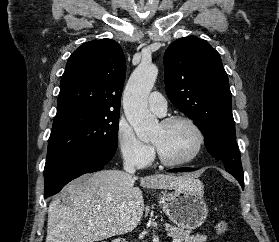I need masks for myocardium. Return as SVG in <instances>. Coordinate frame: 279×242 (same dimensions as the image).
<instances>
[{
	"label": "myocardium",
	"instance_id": "1",
	"mask_svg": "<svg viewBox=\"0 0 279 242\" xmlns=\"http://www.w3.org/2000/svg\"><path fill=\"white\" fill-rule=\"evenodd\" d=\"M177 122L186 123L193 129V131L196 135V145H195V148L192 151V153L189 156H187L186 158L180 159V160H171V159L166 158L160 152V150L157 148V146L155 144H153L154 150L156 152V155H157V158L159 159V161L162 164H164L166 166H170V167L184 166V165H187V164L191 163L192 161H194L201 153V151L204 147V143H205V135H204L202 128L191 117H188L185 115H172V116L166 117L163 120H161L160 124L162 126H169V125L177 123Z\"/></svg>",
	"mask_w": 279,
	"mask_h": 242
}]
</instances>
